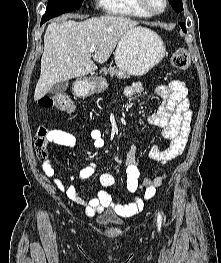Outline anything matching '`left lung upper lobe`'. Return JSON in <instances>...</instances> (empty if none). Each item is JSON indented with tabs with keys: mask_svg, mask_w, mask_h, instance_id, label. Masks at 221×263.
Returning a JSON list of instances; mask_svg holds the SVG:
<instances>
[{
	"mask_svg": "<svg viewBox=\"0 0 221 263\" xmlns=\"http://www.w3.org/2000/svg\"><path fill=\"white\" fill-rule=\"evenodd\" d=\"M169 2L176 12L183 10L182 0H169Z\"/></svg>",
	"mask_w": 221,
	"mask_h": 263,
	"instance_id": "1",
	"label": "left lung upper lobe"
}]
</instances>
